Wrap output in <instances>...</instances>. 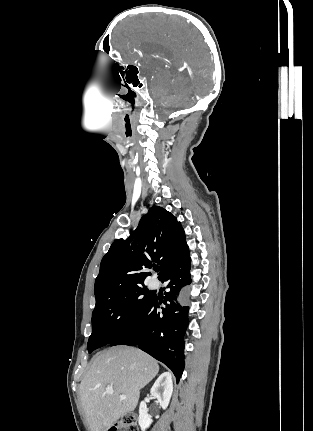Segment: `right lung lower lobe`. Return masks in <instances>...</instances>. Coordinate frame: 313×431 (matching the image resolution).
I'll return each mask as SVG.
<instances>
[{"label": "right lung lower lobe", "instance_id": "right-lung-lower-lobe-1", "mask_svg": "<svg viewBox=\"0 0 313 431\" xmlns=\"http://www.w3.org/2000/svg\"><path fill=\"white\" fill-rule=\"evenodd\" d=\"M190 255L186 245L181 255L160 279L168 282L163 301L154 297L138 319L109 345L138 346L169 367L177 381L184 370V335L189 307L184 306V287L191 283ZM162 312L159 311L160 304Z\"/></svg>", "mask_w": 313, "mask_h": 431}]
</instances>
